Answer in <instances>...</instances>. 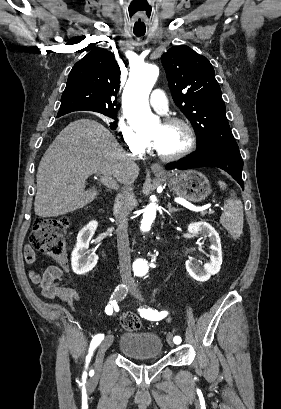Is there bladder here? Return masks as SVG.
<instances>
[{
  "mask_svg": "<svg viewBox=\"0 0 281 409\" xmlns=\"http://www.w3.org/2000/svg\"><path fill=\"white\" fill-rule=\"evenodd\" d=\"M116 346L122 355L133 361L161 359L164 354L163 338L152 331L123 329Z\"/></svg>",
  "mask_w": 281,
  "mask_h": 409,
  "instance_id": "1",
  "label": "bladder"
}]
</instances>
